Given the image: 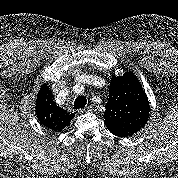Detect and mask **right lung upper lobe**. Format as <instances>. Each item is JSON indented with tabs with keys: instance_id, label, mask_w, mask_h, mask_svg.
Instances as JSON below:
<instances>
[{
	"instance_id": "1",
	"label": "right lung upper lobe",
	"mask_w": 178,
	"mask_h": 178,
	"mask_svg": "<svg viewBox=\"0 0 178 178\" xmlns=\"http://www.w3.org/2000/svg\"><path fill=\"white\" fill-rule=\"evenodd\" d=\"M35 105L36 116L40 123L53 131L63 130L74 118L73 114H68L55 104L52 91L47 84L41 86Z\"/></svg>"
}]
</instances>
